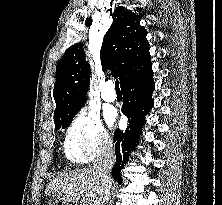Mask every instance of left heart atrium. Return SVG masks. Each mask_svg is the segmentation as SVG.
<instances>
[{"instance_id":"39dd6f15","label":"left heart atrium","mask_w":222,"mask_h":205,"mask_svg":"<svg viewBox=\"0 0 222 205\" xmlns=\"http://www.w3.org/2000/svg\"><path fill=\"white\" fill-rule=\"evenodd\" d=\"M107 120L111 123L114 120V114L109 113L108 116H107Z\"/></svg>"}]
</instances>
